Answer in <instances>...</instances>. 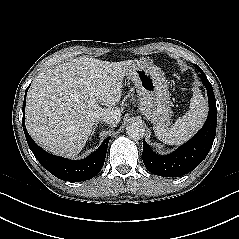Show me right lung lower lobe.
<instances>
[{"mask_svg": "<svg viewBox=\"0 0 239 239\" xmlns=\"http://www.w3.org/2000/svg\"><path fill=\"white\" fill-rule=\"evenodd\" d=\"M29 88V87H28ZM25 98L23 103V114L25 113ZM22 125L29 148L40 164L57 178L70 182L85 181L95 177L102 169L111 137H107L102 145L85 159L72 161L66 158L51 155L40 148L28 134L24 117Z\"/></svg>", "mask_w": 239, "mask_h": 239, "instance_id": "1", "label": "right lung lower lobe"}]
</instances>
